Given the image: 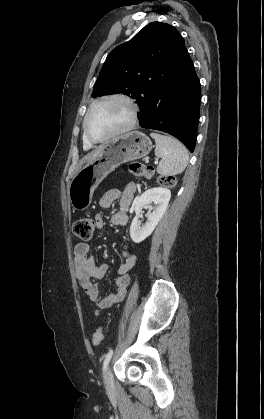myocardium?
<instances>
[{
  "label": "myocardium",
  "mask_w": 264,
  "mask_h": 419,
  "mask_svg": "<svg viewBox=\"0 0 264 419\" xmlns=\"http://www.w3.org/2000/svg\"><path fill=\"white\" fill-rule=\"evenodd\" d=\"M112 100H119L122 101L123 103H125L127 105V107L129 108V120L127 122V124L125 126H123L122 128L114 131L113 133L100 138V139H95L93 137L90 136L89 132H88V128H87V122L89 119V116L91 114V112L93 111V109L95 107H97L98 105L105 103L107 101H112ZM137 119H138V106L135 103V101L128 96L127 94L124 93H111V94H107L104 95L98 99H96L88 108L84 119H83V132H84V137L85 139L91 143V144H99V143H104L107 142L109 140H112L116 137H119L121 135H124L126 133H128L129 131H131L136 123H137Z\"/></svg>",
  "instance_id": "f54148a6"
}]
</instances>
